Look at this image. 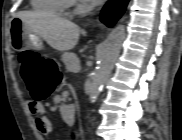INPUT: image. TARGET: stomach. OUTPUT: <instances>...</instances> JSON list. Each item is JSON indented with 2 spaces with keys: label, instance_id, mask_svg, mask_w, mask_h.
Here are the masks:
<instances>
[{
  "label": "stomach",
  "instance_id": "0dacf381",
  "mask_svg": "<svg viewBox=\"0 0 182 140\" xmlns=\"http://www.w3.org/2000/svg\"><path fill=\"white\" fill-rule=\"evenodd\" d=\"M10 36L11 44L17 50L39 49L42 46L40 36L29 30L19 17L14 18L11 22Z\"/></svg>",
  "mask_w": 182,
  "mask_h": 140
}]
</instances>
